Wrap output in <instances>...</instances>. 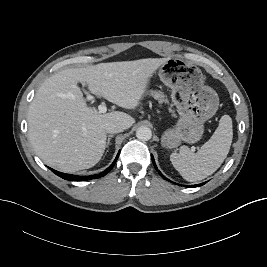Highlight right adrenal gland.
Here are the masks:
<instances>
[{
  "mask_svg": "<svg viewBox=\"0 0 267 267\" xmlns=\"http://www.w3.org/2000/svg\"><path fill=\"white\" fill-rule=\"evenodd\" d=\"M113 137V135L111 134V135H109L108 136V139H107V144H106V148H109V145H110V140H111V138ZM108 151V150H107Z\"/></svg>",
  "mask_w": 267,
  "mask_h": 267,
  "instance_id": "obj_1",
  "label": "right adrenal gland"
}]
</instances>
